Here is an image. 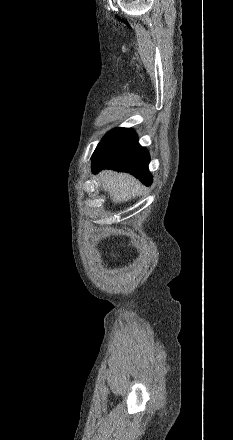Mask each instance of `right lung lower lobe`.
I'll use <instances>...</instances> for the list:
<instances>
[{
	"instance_id": "obj_1",
	"label": "right lung lower lobe",
	"mask_w": 233,
	"mask_h": 440,
	"mask_svg": "<svg viewBox=\"0 0 233 440\" xmlns=\"http://www.w3.org/2000/svg\"><path fill=\"white\" fill-rule=\"evenodd\" d=\"M149 161V153L139 145L137 134L131 129L116 128L98 144L92 156V170L98 172L108 168L129 172L150 185Z\"/></svg>"
}]
</instances>
